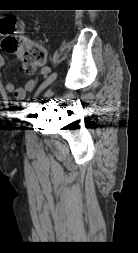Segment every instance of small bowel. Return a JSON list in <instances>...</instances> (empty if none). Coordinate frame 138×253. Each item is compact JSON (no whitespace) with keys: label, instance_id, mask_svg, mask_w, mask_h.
Masks as SVG:
<instances>
[{"label":"small bowel","instance_id":"1","mask_svg":"<svg viewBox=\"0 0 138 253\" xmlns=\"http://www.w3.org/2000/svg\"><path fill=\"white\" fill-rule=\"evenodd\" d=\"M4 65V58L0 54V68ZM48 68L42 69V74L49 72ZM37 85V79H29L23 87H16L12 81L5 83V89L7 92L13 94L17 100H23L26 97L27 92H31Z\"/></svg>","mask_w":138,"mask_h":253}]
</instances>
